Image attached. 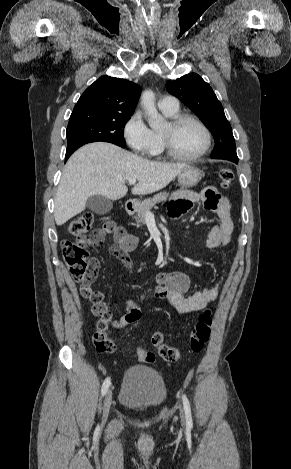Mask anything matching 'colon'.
I'll return each mask as SVG.
<instances>
[{
    "label": "colon",
    "instance_id": "obj_1",
    "mask_svg": "<svg viewBox=\"0 0 291 469\" xmlns=\"http://www.w3.org/2000/svg\"><path fill=\"white\" fill-rule=\"evenodd\" d=\"M219 180L223 188H229L234 175L227 166H222L218 172ZM94 215L86 212L75 217L68 226L69 233L76 237L75 241H67L63 246V257L73 279L81 284V294L92 302V312L98 317L97 331L93 335V344L99 353H111L114 351V343L106 336L105 332L113 323L109 305L104 297L92 287L96 277L97 268L89 258L86 247L102 238L101 230H93ZM111 251L119 257L124 264L131 268L130 259L119 249L112 246ZM213 318L209 310L203 311L197 323L193 326L188 346L193 352H201L209 340ZM151 343L156 348L161 359L166 362L177 361L181 356V349L167 344L161 331H155L151 336ZM136 355L142 362L153 363L155 354L137 348Z\"/></svg>",
    "mask_w": 291,
    "mask_h": 469
}]
</instances>
